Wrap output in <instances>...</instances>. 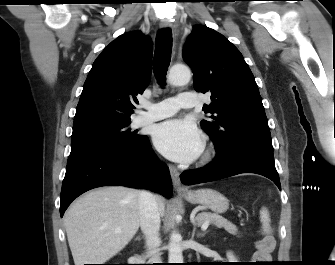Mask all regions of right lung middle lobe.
Returning <instances> with one entry per match:
<instances>
[{"instance_id": "right-lung-middle-lobe-1", "label": "right lung middle lobe", "mask_w": 335, "mask_h": 265, "mask_svg": "<svg viewBox=\"0 0 335 265\" xmlns=\"http://www.w3.org/2000/svg\"><path fill=\"white\" fill-rule=\"evenodd\" d=\"M130 121L95 122L73 127L71 153L88 149H130L144 136L131 132Z\"/></svg>"}]
</instances>
